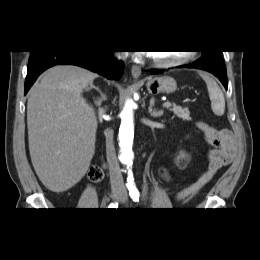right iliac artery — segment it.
<instances>
[{
    "mask_svg": "<svg viewBox=\"0 0 260 260\" xmlns=\"http://www.w3.org/2000/svg\"><path fill=\"white\" fill-rule=\"evenodd\" d=\"M117 206H118V203L114 202V203H111L108 208L109 209H115V208H117Z\"/></svg>",
    "mask_w": 260,
    "mask_h": 260,
    "instance_id": "82829eb1",
    "label": "right iliac artery"
}]
</instances>
